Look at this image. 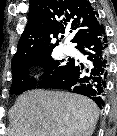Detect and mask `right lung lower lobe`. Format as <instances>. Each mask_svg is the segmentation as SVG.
<instances>
[{
  "mask_svg": "<svg viewBox=\"0 0 117 136\" xmlns=\"http://www.w3.org/2000/svg\"><path fill=\"white\" fill-rule=\"evenodd\" d=\"M77 49L87 55L86 66L74 59L53 77L42 83L40 88L64 89L91 98L102 109L108 79V50L105 29L98 25L83 35Z\"/></svg>",
  "mask_w": 117,
  "mask_h": 136,
  "instance_id": "right-lung-lower-lobe-1",
  "label": "right lung lower lobe"
}]
</instances>
